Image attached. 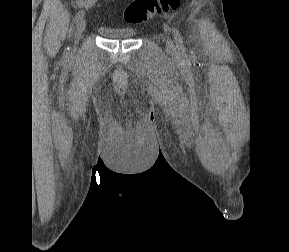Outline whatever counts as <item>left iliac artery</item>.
<instances>
[{
	"label": "left iliac artery",
	"instance_id": "1",
	"mask_svg": "<svg viewBox=\"0 0 289 252\" xmlns=\"http://www.w3.org/2000/svg\"><path fill=\"white\" fill-rule=\"evenodd\" d=\"M173 33H174V39L176 41L177 46L182 47L183 39H182L180 32L178 31V29L174 28Z\"/></svg>",
	"mask_w": 289,
	"mask_h": 252
}]
</instances>
